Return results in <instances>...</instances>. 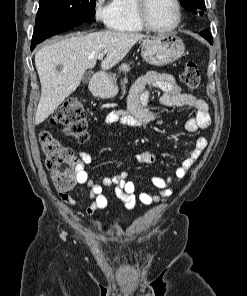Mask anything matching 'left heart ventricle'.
I'll list each match as a JSON object with an SVG mask.
<instances>
[{
	"mask_svg": "<svg viewBox=\"0 0 247 296\" xmlns=\"http://www.w3.org/2000/svg\"><path fill=\"white\" fill-rule=\"evenodd\" d=\"M147 15L155 27L167 28L174 23L176 10L172 0H149Z\"/></svg>",
	"mask_w": 247,
	"mask_h": 296,
	"instance_id": "b2bd125f",
	"label": "left heart ventricle"
}]
</instances>
